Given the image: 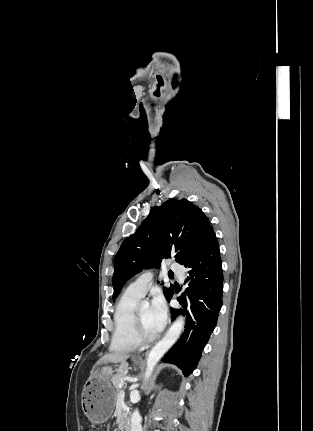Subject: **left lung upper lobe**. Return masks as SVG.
Segmentation results:
<instances>
[{
    "mask_svg": "<svg viewBox=\"0 0 313 431\" xmlns=\"http://www.w3.org/2000/svg\"><path fill=\"white\" fill-rule=\"evenodd\" d=\"M210 226L202 210L186 199H170L155 207L142 225L126 238L115 256L113 300L125 282L143 268L160 266L175 257L184 265L195 254ZM173 287L164 288L168 299Z\"/></svg>",
    "mask_w": 313,
    "mask_h": 431,
    "instance_id": "left-lung-upper-lobe-1",
    "label": "left lung upper lobe"
}]
</instances>
